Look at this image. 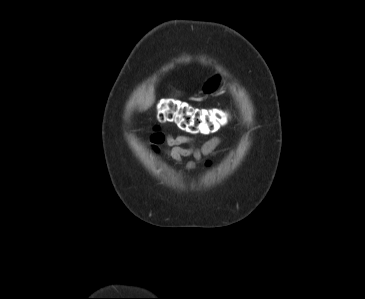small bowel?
<instances>
[{"mask_svg": "<svg viewBox=\"0 0 365 299\" xmlns=\"http://www.w3.org/2000/svg\"><path fill=\"white\" fill-rule=\"evenodd\" d=\"M166 143L169 146L167 154L176 162H180L184 157H193L194 160L185 164V168H195L199 161L211 154L213 150L221 144V139L215 137L207 143L196 145L193 138L186 135H167ZM183 145H186L185 147Z\"/></svg>", "mask_w": 365, "mask_h": 299, "instance_id": "small-bowel-1", "label": "small bowel"}]
</instances>
